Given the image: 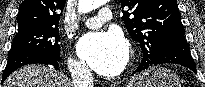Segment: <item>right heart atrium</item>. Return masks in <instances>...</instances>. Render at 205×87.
Segmentation results:
<instances>
[{"label": "right heart atrium", "mask_w": 205, "mask_h": 87, "mask_svg": "<svg viewBox=\"0 0 205 87\" xmlns=\"http://www.w3.org/2000/svg\"><path fill=\"white\" fill-rule=\"evenodd\" d=\"M68 67L74 76L88 74L90 72L87 64L84 61L74 57L69 58Z\"/></svg>", "instance_id": "right-heart-atrium-1"}]
</instances>
